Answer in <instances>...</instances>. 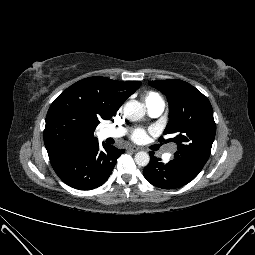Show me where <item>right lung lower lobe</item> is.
<instances>
[{
	"label": "right lung lower lobe",
	"instance_id": "right-lung-lower-lobe-1",
	"mask_svg": "<svg viewBox=\"0 0 255 255\" xmlns=\"http://www.w3.org/2000/svg\"><path fill=\"white\" fill-rule=\"evenodd\" d=\"M98 141L77 147L50 158L59 178L67 185L79 190H92L104 184L112 173L118 157L124 153L112 145Z\"/></svg>",
	"mask_w": 255,
	"mask_h": 255
}]
</instances>
